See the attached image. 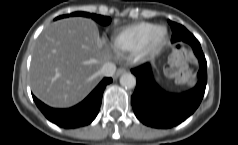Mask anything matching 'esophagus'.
<instances>
[{
  "instance_id": "1",
  "label": "esophagus",
  "mask_w": 238,
  "mask_h": 145,
  "mask_svg": "<svg viewBox=\"0 0 238 145\" xmlns=\"http://www.w3.org/2000/svg\"><path fill=\"white\" fill-rule=\"evenodd\" d=\"M125 72L126 70L124 68H119L117 72L115 73L114 78H118L120 75H122Z\"/></svg>"
}]
</instances>
